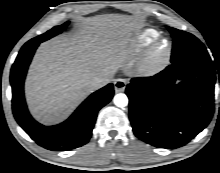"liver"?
I'll return each instance as SVG.
<instances>
[{
  "instance_id": "obj_1",
  "label": "liver",
  "mask_w": 220,
  "mask_h": 173,
  "mask_svg": "<svg viewBox=\"0 0 220 173\" xmlns=\"http://www.w3.org/2000/svg\"><path fill=\"white\" fill-rule=\"evenodd\" d=\"M139 26L132 16L89 17L81 32L42 43L25 83L31 113L46 124L67 117L95 91L94 78L112 76L123 66L130 32Z\"/></svg>"
}]
</instances>
